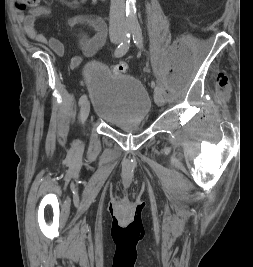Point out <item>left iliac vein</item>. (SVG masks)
I'll use <instances>...</instances> for the list:
<instances>
[{"mask_svg": "<svg viewBox=\"0 0 253 267\" xmlns=\"http://www.w3.org/2000/svg\"><path fill=\"white\" fill-rule=\"evenodd\" d=\"M154 101L158 106H162L165 102L164 94L161 92H155Z\"/></svg>", "mask_w": 253, "mask_h": 267, "instance_id": "obj_1", "label": "left iliac vein"}]
</instances>
